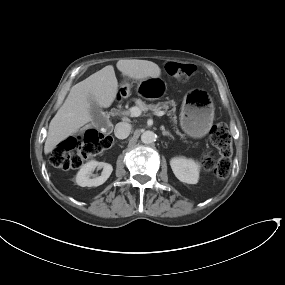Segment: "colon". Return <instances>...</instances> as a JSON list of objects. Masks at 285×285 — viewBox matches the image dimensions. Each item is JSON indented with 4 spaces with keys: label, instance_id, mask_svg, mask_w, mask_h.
I'll list each match as a JSON object with an SVG mask.
<instances>
[{
    "label": "colon",
    "instance_id": "5ec220e1",
    "mask_svg": "<svg viewBox=\"0 0 285 285\" xmlns=\"http://www.w3.org/2000/svg\"><path fill=\"white\" fill-rule=\"evenodd\" d=\"M166 70L169 75L181 81L188 80L195 67L191 64H181L175 61L167 63ZM211 144L217 149L219 158L205 152L202 155L204 169L208 173L223 179L231 167L232 143L227 126L224 123L214 125L209 133ZM109 139L100 136L94 131H88L84 135L70 136L53 150L51 154V164L54 167L70 170L81 166L84 159L106 148Z\"/></svg>",
    "mask_w": 285,
    "mask_h": 285
}]
</instances>
